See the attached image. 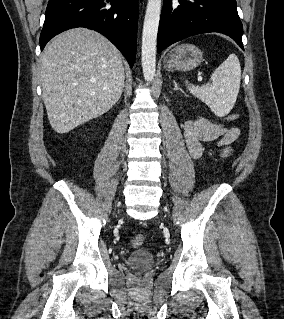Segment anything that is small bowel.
<instances>
[{"label": "small bowel", "mask_w": 284, "mask_h": 319, "mask_svg": "<svg viewBox=\"0 0 284 319\" xmlns=\"http://www.w3.org/2000/svg\"><path fill=\"white\" fill-rule=\"evenodd\" d=\"M183 134L191 157L200 159L203 155L204 143L216 142L218 146L229 145L239 137L240 130L237 127H227L224 124L199 117L184 123Z\"/></svg>", "instance_id": "small-bowel-1"}]
</instances>
